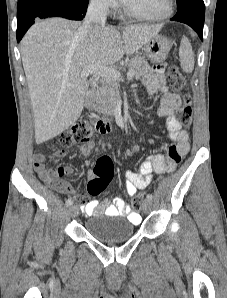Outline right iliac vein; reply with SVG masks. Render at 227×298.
<instances>
[{"label":"right iliac vein","mask_w":227,"mask_h":298,"mask_svg":"<svg viewBox=\"0 0 227 298\" xmlns=\"http://www.w3.org/2000/svg\"><path fill=\"white\" fill-rule=\"evenodd\" d=\"M69 214L71 217H76L79 214V208L76 205H73L69 208Z\"/></svg>","instance_id":"63e3f726"}]
</instances>
